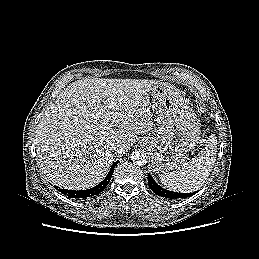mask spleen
I'll return each mask as SVG.
<instances>
[{"mask_svg": "<svg viewBox=\"0 0 259 259\" xmlns=\"http://www.w3.org/2000/svg\"><path fill=\"white\" fill-rule=\"evenodd\" d=\"M217 139L211 134L206 147L198 157L183 164L181 169L159 174L160 180L169 190L190 193L198 190L207 180L216 160Z\"/></svg>", "mask_w": 259, "mask_h": 259, "instance_id": "3e777b00", "label": "spleen"}]
</instances>
